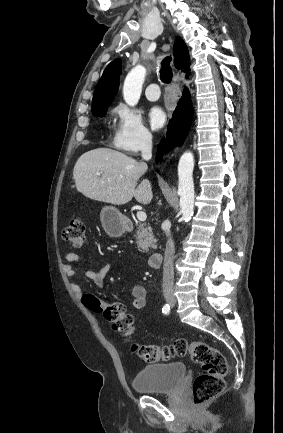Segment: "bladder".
Segmentation results:
<instances>
[{"label": "bladder", "mask_w": 283, "mask_h": 433, "mask_svg": "<svg viewBox=\"0 0 283 433\" xmlns=\"http://www.w3.org/2000/svg\"><path fill=\"white\" fill-rule=\"evenodd\" d=\"M184 376L182 362L146 366L135 375L132 386L137 392H169L177 389Z\"/></svg>", "instance_id": "bladder-1"}]
</instances>
